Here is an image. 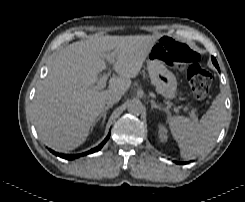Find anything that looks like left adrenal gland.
Here are the masks:
<instances>
[{"mask_svg": "<svg viewBox=\"0 0 245 202\" xmlns=\"http://www.w3.org/2000/svg\"><path fill=\"white\" fill-rule=\"evenodd\" d=\"M151 109L164 110V108L158 106L153 100H151Z\"/></svg>", "mask_w": 245, "mask_h": 202, "instance_id": "a2214340", "label": "left adrenal gland"}]
</instances>
